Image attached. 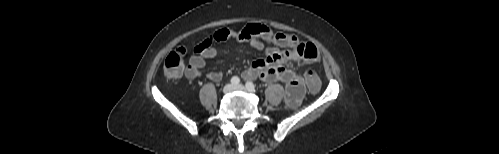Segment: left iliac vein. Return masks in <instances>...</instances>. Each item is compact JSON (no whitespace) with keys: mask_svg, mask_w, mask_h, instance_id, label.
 I'll return each instance as SVG.
<instances>
[{"mask_svg":"<svg viewBox=\"0 0 499 154\" xmlns=\"http://www.w3.org/2000/svg\"><path fill=\"white\" fill-rule=\"evenodd\" d=\"M234 89L237 90V91H241V92H246L247 91L246 88L243 85H241V84L236 85L234 87Z\"/></svg>","mask_w":499,"mask_h":154,"instance_id":"left-iliac-vein-1","label":"left iliac vein"}]
</instances>
